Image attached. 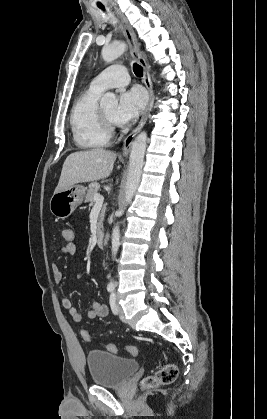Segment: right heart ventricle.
<instances>
[{
	"label": "right heart ventricle",
	"instance_id": "e07e8e85",
	"mask_svg": "<svg viewBox=\"0 0 267 419\" xmlns=\"http://www.w3.org/2000/svg\"><path fill=\"white\" fill-rule=\"evenodd\" d=\"M101 93L89 87L78 97L71 110V130L80 148H101L110 141V135L104 129L100 118L98 101Z\"/></svg>",
	"mask_w": 267,
	"mask_h": 419
}]
</instances>
